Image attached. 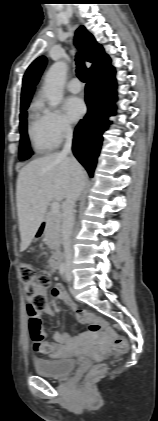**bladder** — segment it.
<instances>
[{"label": "bladder", "instance_id": "31cf9c89", "mask_svg": "<svg viewBox=\"0 0 158 421\" xmlns=\"http://www.w3.org/2000/svg\"><path fill=\"white\" fill-rule=\"evenodd\" d=\"M35 372L43 377L61 378L70 374L77 365L72 357H60L54 359H37L34 361Z\"/></svg>", "mask_w": 158, "mask_h": 421}]
</instances>
